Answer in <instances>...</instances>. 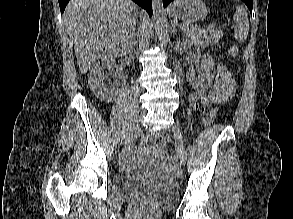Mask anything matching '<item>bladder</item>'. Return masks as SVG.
Here are the masks:
<instances>
[{"instance_id": "obj_1", "label": "bladder", "mask_w": 293, "mask_h": 219, "mask_svg": "<svg viewBox=\"0 0 293 219\" xmlns=\"http://www.w3.org/2000/svg\"><path fill=\"white\" fill-rule=\"evenodd\" d=\"M114 187L124 193L147 199L161 208H169L178 202V190L168 183H155L129 172L118 171L113 176Z\"/></svg>"}]
</instances>
